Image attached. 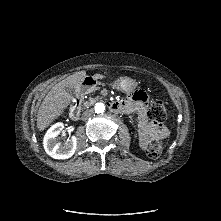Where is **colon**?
<instances>
[{"instance_id": "1", "label": "colon", "mask_w": 221, "mask_h": 221, "mask_svg": "<svg viewBox=\"0 0 221 221\" xmlns=\"http://www.w3.org/2000/svg\"><path fill=\"white\" fill-rule=\"evenodd\" d=\"M148 116L154 120H165L167 117V112L164 103L160 100L152 101L148 110ZM162 150V142H155L147 149V155L150 158H158L161 155Z\"/></svg>"}]
</instances>
